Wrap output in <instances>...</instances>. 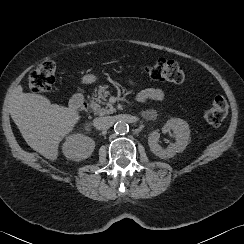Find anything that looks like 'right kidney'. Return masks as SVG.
Returning <instances> with one entry per match:
<instances>
[{"label": "right kidney", "instance_id": "ca27d5eb", "mask_svg": "<svg viewBox=\"0 0 244 244\" xmlns=\"http://www.w3.org/2000/svg\"><path fill=\"white\" fill-rule=\"evenodd\" d=\"M95 148L92 138L80 133H75L66 138L62 145V152L66 158L81 161L91 156Z\"/></svg>", "mask_w": 244, "mask_h": 244}]
</instances>
